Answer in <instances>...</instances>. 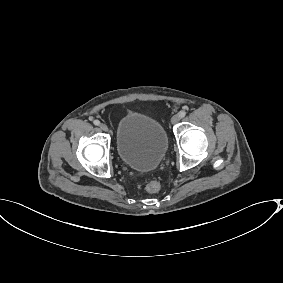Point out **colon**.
Segmentation results:
<instances>
[{"label": "colon", "mask_w": 283, "mask_h": 283, "mask_svg": "<svg viewBox=\"0 0 283 283\" xmlns=\"http://www.w3.org/2000/svg\"><path fill=\"white\" fill-rule=\"evenodd\" d=\"M146 190L149 193H156L160 190V183L157 180H149L146 184Z\"/></svg>", "instance_id": "1"}]
</instances>
